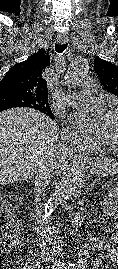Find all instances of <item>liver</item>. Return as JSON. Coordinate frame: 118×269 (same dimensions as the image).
<instances>
[{"mask_svg": "<svg viewBox=\"0 0 118 269\" xmlns=\"http://www.w3.org/2000/svg\"><path fill=\"white\" fill-rule=\"evenodd\" d=\"M56 123L31 108H11L0 112V185L31 178L42 161L56 155L60 168L67 161L56 145ZM91 164V163H89Z\"/></svg>", "mask_w": 118, "mask_h": 269, "instance_id": "1", "label": "liver"}]
</instances>
